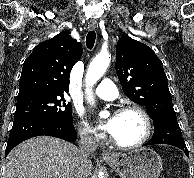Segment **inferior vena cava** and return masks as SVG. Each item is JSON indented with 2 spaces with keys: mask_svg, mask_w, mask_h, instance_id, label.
I'll use <instances>...</instances> for the list:
<instances>
[{
  "mask_svg": "<svg viewBox=\"0 0 194 178\" xmlns=\"http://www.w3.org/2000/svg\"><path fill=\"white\" fill-rule=\"evenodd\" d=\"M97 148V144L94 141L92 135L89 133H80L79 141V154L80 162L73 173V178H85L84 165L89 161V155L92 154Z\"/></svg>",
  "mask_w": 194,
  "mask_h": 178,
  "instance_id": "602c4592",
  "label": "inferior vena cava"
}]
</instances>
